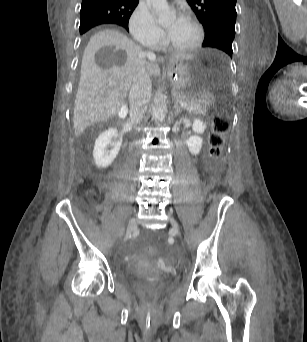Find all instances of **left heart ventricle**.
<instances>
[{"label":"left heart ventricle","instance_id":"b2bd125f","mask_svg":"<svg viewBox=\"0 0 307 342\" xmlns=\"http://www.w3.org/2000/svg\"><path fill=\"white\" fill-rule=\"evenodd\" d=\"M196 39L194 28L187 22H182L174 37L167 40L169 48L181 50L189 47Z\"/></svg>","mask_w":307,"mask_h":342}]
</instances>
